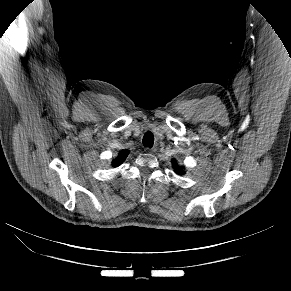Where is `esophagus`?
<instances>
[{"label":"esophagus","instance_id":"esophagus-1","mask_svg":"<svg viewBox=\"0 0 291 291\" xmlns=\"http://www.w3.org/2000/svg\"><path fill=\"white\" fill-rule=\"evenodd\" d=\"M155 150V148L148 149L149 152H154Z\"/></svg>","mask_w":291,"mask_h":291}]
</instances>
